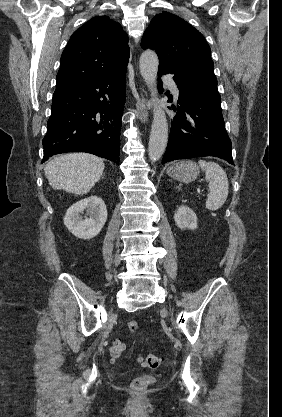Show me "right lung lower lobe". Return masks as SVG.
<instances>
[{
  "mask_svg": "<svg viewBox=\"0 0 282 417\" xmlns=\"http://www.w3.org/2000/svg\"><path fill=\"white\" fill-rule=\"evenodd\" d=\"M125 72L54 92L42 162L55 154L87 152L119 164Z\"/></svg>",
  "mask_w": 282,
  "mask_h": 417,
  "instance_id": "98d812e1",
  "label": "right lung lower lobe"
}]
</instances>
